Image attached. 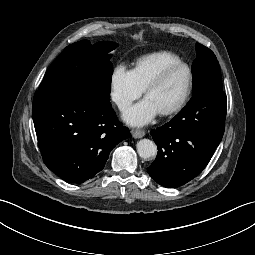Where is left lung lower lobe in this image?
I'll return each mask as SVG.
<instances>
[{"instance_id":"obj_1","label":"left lung lower lobe","mask_w":255,"mask_h":255,"mask_svg":"<svg viewBox=\"0 0 255 255\" xmlns=\"http://www.w3.org/2000/svg\"><path fill=\"white\" fill-rule=\"evenodd\" d=\"M227 99L209 89L194 97L170 122L151 130L158 154L147 168L161 186L176 188L192 180L209 163L225 128Z\"/></svg>"}]
</instances>
